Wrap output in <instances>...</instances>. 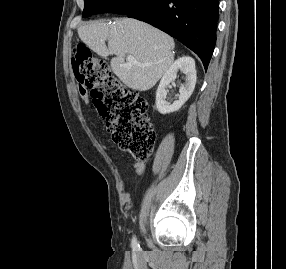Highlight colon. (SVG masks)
Instances as JSON below:
<instances>
[{
    "instance_id": "5ec220e1",
    "label": "colon",
    "mask_w": 286,
    "mask_h": 269,
    "mask_svg": "<svg viewBox=\"0 0 286 269\" xmlns=\"http://www.w3.org/2000/svg\"><path fill=\"white\" fill-rule=\"evenodd\" d=\"M72 68L78 83L89 90L112 140L137 161L148 160L156 133L147 119V100L122 85L106 63L82 42L73 46Z\"/></svg>"
}]
</instances>
